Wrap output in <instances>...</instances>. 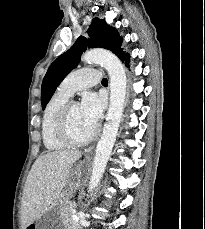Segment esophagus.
Segmentation results:
<instances>
[{
    "label": "esophagus",
    "instance_id": "esophagus-1",
    "mask_svg": "<svg viewBox=\"0 0 205 229\" xmlns=\"http://www.w3.org/2000/svg\"><path fill=\"white\" fill-rule=\"evenodd\" d=\"M91 151H92V148H89V149L86 150V153H87V154H90Z\"/></svg>",
    "mask_w": 205,
    "mask_h": 229
}]
</instances>
